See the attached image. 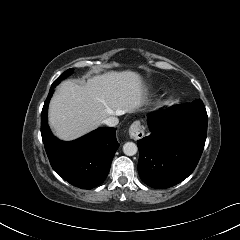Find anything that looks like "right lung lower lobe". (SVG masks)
I'll use <instances>...</instances> for the list:
<instances>
[{
    "label": "right lung lower lobe",
    "instance_id": "obj_1",
    "mask_svg": "<svg viewBox=\"0 0 240 240\" xmlns=\"http://www.w3.org/2000/svg\"><path fill=\"white\" fill-rule=\"evenodd\" d=\"M53 92L54 88H51L41 113V135L50 164L71 185L94 188L107 177L119 147L116 128H99L72 142L58 140L47 123L48 104Z\"/></svg>",
    "mask_w": 240,
    "mask_h": 240
}]
</instances>
